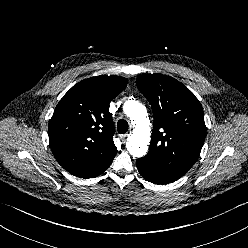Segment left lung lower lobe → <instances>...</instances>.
<instances>
[{"mask_svg":"<svg viewBox=\"0 0 248 248\" xmlns=\"http://www.w3.org/2000/svg\"><path fill=\"white\" fill-rule=\"evenodd\" d=\"M139 173L147 180L155 184H168L177 179L170 177L166 173L151 167L147 160L141 158L136 160Z\"/></svg>","mask_w":248,"mask_h":248,"instance_id":"obj_1","label":"left lung lower lobe"}]
</instances>
